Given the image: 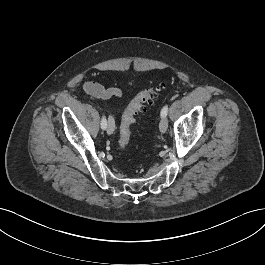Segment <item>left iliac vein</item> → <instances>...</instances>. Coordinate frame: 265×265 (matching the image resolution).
I'll return each instance as SVG.
<instances>
[{"label":"left iliac vein","mask_w":265,"mask_h":265,"mask_svg":"<svg viewBox=\"0 0 265 265\" xmlns=\"http://www.w3.org/2000/svg\"><path fill=\"white\" fill-rule=\"evenodd\" d=\"M159 129L161 133H165L168 129V120L166 117H162L159 123Z\"/></svg>","instance_id":"left-iliac-vein-1"}]
</instances>
